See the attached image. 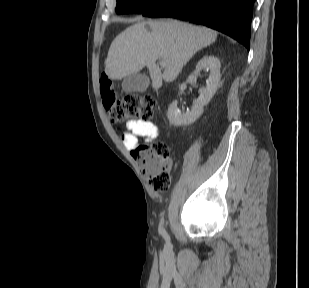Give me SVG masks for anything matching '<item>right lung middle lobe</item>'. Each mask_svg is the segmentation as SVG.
Returning <instances> with one entry per match:
<instances>
[{"label":"right lung middle lobe","instance_id":"obj_1","mask_svg":"<svg viewBox=\"0 0 309 288\" xmlns=\"http://www.w3.org/2000/svg\"><path fill=\"white\" fill-rule=\"evenodd\" d=\"M163 0H117L116 13H143Z\"/></svg>","mask_w":309,"mask_h":288}]
</instances>
